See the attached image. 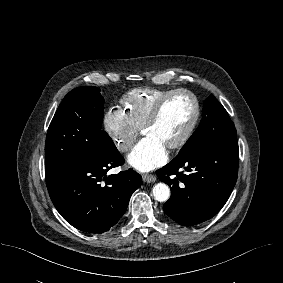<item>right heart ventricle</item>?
<instances>
[{"mask_svg": "<svg viewBox=\"0 0 283 283\" xmlns=\"http://www.w3.org/2000/svg\"><path fill=\"white\" fill-rule=\"evenodd\" d=\"M170 91L172 89L156 87L132 89L120 100L122 111L138 129H141L155 103Z\"/></svg>", "mask_w": 283, "mask_h": 283, "instance_id": "obj_1", "label": "right heart ventricle"}]
</instances>
